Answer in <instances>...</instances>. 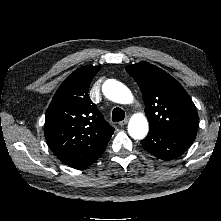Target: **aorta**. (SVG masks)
<instances>
[{
	"mask_svg": "<svg viewBox=\"0 0 221 221\" xmlns=\"http://www.w3.org/2000/svg\"><path fill=\"white\" fill-rule=\"evenodd\" d=\"M103 93L115 103L129 104L133 100L131 91L121 82L112 79L103 84ZM148 130L149 124L144 114L138 113L131 117L128 124V133L133 139H143Z\"/></svg>",
	"mask_w": 221,
	"mask_h": 221,
	"instance_id": "aorta-1",
	"label": "aorta"
}]
</instances>
